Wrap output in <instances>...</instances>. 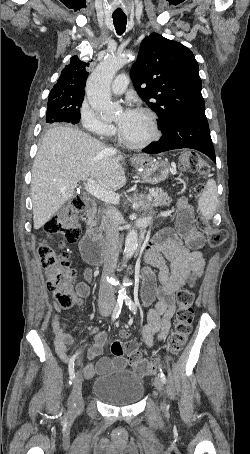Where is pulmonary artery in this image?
I'll use <instances>...</instances> for the list:
<instances>
[{
	"label": "pulmonary artery",
	"instance_id": "e3ab8cb5",
	"mask_svg": "<svg viewBox=\"0 0 250 454\" xmlns=\"http://www.w3.org/2000/svg\"><path fill=\"white\" fill-rule=\"evenodd\" d=\"M128 76L126 74L118 75L111 84V91L114 94H122L128 86Z\"/></svg>",
	"mask_w": 250,
	"mask_h": 454
}]
</instances>
